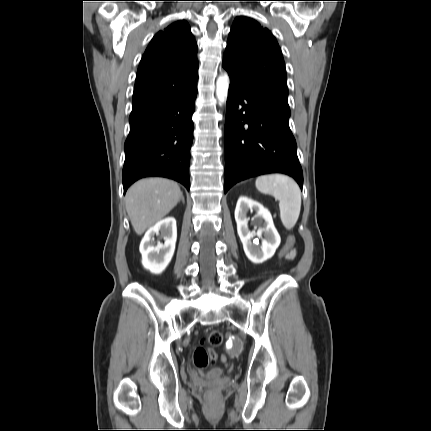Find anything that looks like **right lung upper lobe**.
Segmentation results:
<instances>
[{
  "label": "right lung upper lobe",
  "mask_w": 431,
  "mask_h": 431,
  "mask_svg": "<svg viewBox=\"0 0 431 431\" xmlns=\"http://www.w3.org/2000/svg\"><path fill=\"white\" fill-rule=\"evenodd\" d=\"M198 79L197 44L186 21L159 31L138 67L132 111L164 102Z\"/></svg>",
  "instance_id": "right-lung-upper-lobe-1"
}]
</instances>
